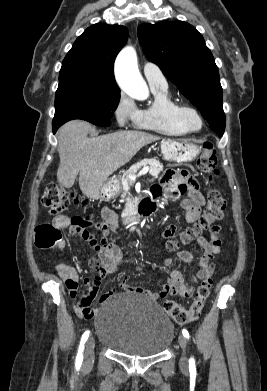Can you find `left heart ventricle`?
I'll list each match as a JSON object with an SVG mask.
<instances>
[{"instance_id": "1", "label": "left heart ventricle", "mask_w": 267, "mask_h": 391, "mask_svg": "<svg viewBox=\"0 0 267 391\" xmlns=\"http://www.w3.org/2000/svg\"><path fill=\"white\" fill-rule=\"evenodd\" d=\"M187 119H188V121H189V123L192 125V126H194V127H197L198 126V119L194 116V115H192V114H189L188 115V117H187Z\"/></svg>"}]
</instances>
